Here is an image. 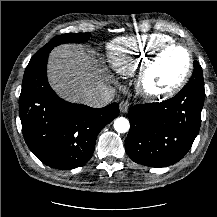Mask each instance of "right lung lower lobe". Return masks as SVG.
I'll list each match as a JSON object with an SVG mask.
<instances>
[{"instance_id": "obj_1", "label": "right lung lower lobe", "mask_w": 217, "mask_h": 217, "mask_svg": "<svg viewBox=\"0 0 217 217\" xmlns=\"http://www.w3.org/2000/svg\"><path fill=\"white\" fill-rule=\"evenodd\" d=\"M48 56L31 60L25 70L19 98L22 132L41 162L70 170L91 158L97 135L119 115V105L95 109L59 98L47 80Z\"/></svg>"}]
</instances>
